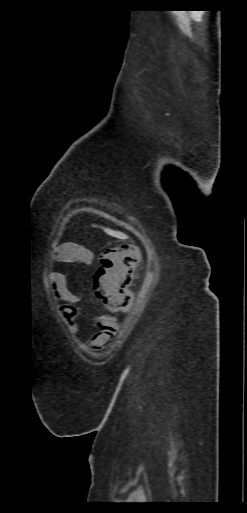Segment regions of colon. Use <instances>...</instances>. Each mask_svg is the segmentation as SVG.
Listing matches in <instances>:
<instances>
[{"mask_svg": "<svg viewBox=\"0 0 247 513\" xmlns=\"http://www.w3.org/2000/svg\"><path fill=\"white\" fill-rule=\"evenodd\" d=\"M138 262V250L133 245L114 246L100 255L93 289L109 311L120 312L130 305Z\"/></svg>", "mask_w": 247, "mask_h": 513, "instance_id": "colon-1", "label": "colon"}]
</instances>
